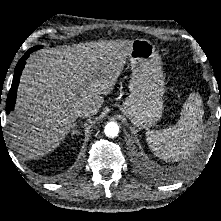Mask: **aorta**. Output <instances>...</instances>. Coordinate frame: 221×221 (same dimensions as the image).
<instances>
[{"instance_id": "aorta-1", "label": "aorta", "mask_w": 221, "mask_h": 221, "mask_svg": "<svg viewBox=\"0 0 221 221\" xmlns=\"http://www.w3.org/2000/svg\"><path fill=\"white\" fill-rule=\"evenodd\" d=\"M104 133L107 137L114 138L119 133V127L116 122H109L104 128Z\"/></svg>"}]
</instances>
